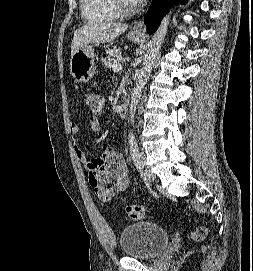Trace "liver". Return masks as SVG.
I'll use <instances>...</instances> for the list:
<instances>
[{
  "instance_id": "1",
  "label": "liver",
  "mask_w": 253,
  "mask_h": 271,
  "mask_svg": "<svg viewBox=\"0 0 253 271\" xmlns=\"http://www.w3.org/2000/svg\"><path fill=\"white\" fill-rule=\"evenodd\" d=\"M128 28L122 23H94L87 24L74 32L71 44V56L82 46L89 43H106L113 41Z\"/></svg>"
}]
</instances>
